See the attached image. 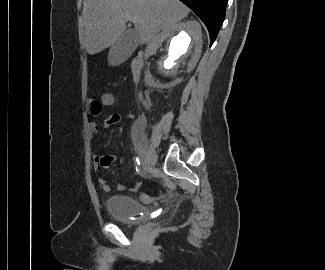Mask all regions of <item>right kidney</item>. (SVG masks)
Segmentation results:
<instances>
[{"label": "right kidney", "mask_w": 325, "mask_h": 270, "mask_svg": "<svg viewBox=\"0 0 325 270\" xmlns=\"http://www.w3.org/2000/svg\"><path fill=\"white\" fill-rule=\"evenodd\" d=\"M157 41L160 53L145 72V83L153 88L170 89L184 80L201 56V26L197 21L178 23L163 30Z\"/></svg>", "instance_id": "obj_1"}]
</instances>
